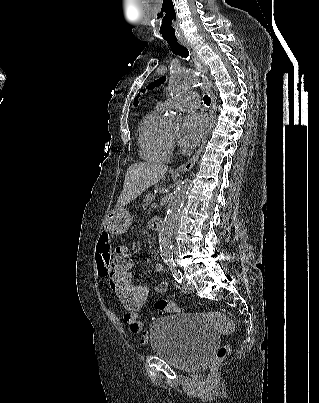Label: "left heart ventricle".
Instances as JSON below:
<instances>
[{
	"instance_id": "obj_1",
	"label": "left heart ventricle",
	"mask_w": 319,
	"mask_h": 403,
	"mask_svg": "<svg viewBox=\"0 0 319 403\" xmlns=\"http://www.w3.org/2000/svg\"><path fill=\"white\" fill-rule=\"evenodd\" d=\"M177 133H178V129H177V128H174V129H171V130H168V131H167V134H168L169 136H171L172 138H175L176 135H177Z\"/></svg>"
}]
</instances>
